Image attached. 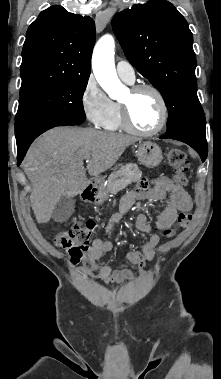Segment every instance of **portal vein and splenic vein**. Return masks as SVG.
I'll use <instances>...</instances> for the list:
<instances>
[{"label": "portal vein and splenic vein", "instance_id": "obj_1", "mask_svg": "<svg viewBox=\"0 0 221 379\" xmlns=\"http://www.w3.org/2000/svg\"><path fill=\"white\" fill-rule=\"evenodd\" d=\"M86 162H89V158L86 159Z\"/></svg>", "mask_w": 221, "mask_h": 379}]
</instances>
